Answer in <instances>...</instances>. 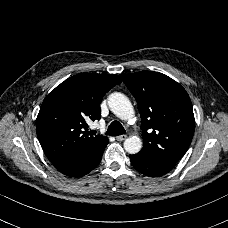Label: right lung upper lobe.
Segmentation results:
<instances>
[{
  "label": "right lung upper lobe",
  "mask_w": 228,
  "mask_h": 228,
  "mask_svg": "<svg viewBox=\"0 0 228 228\" xmlns=\"http://www.w3.org/2000/svg\"><path fill=\"white\" fill-rule=\"evenodd\" d=\"M120 83L118 75L80 73L46 96L36 119V132L51 163L77 159L108 139L89 135L85 120L100 119L103 96Z\"/></svg>",
  "instance_id": "obj_1"
}]
</instances>
